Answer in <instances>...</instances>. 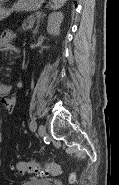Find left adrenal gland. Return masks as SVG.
I'll return each mask as SVG.
<instances>
[{
	"label": "left adrenal gland",
	"instance_id": "1",
	"mask_svg": "<svg viewBox=\"0 0 119 185\" xmlns=\"http://www.w3.org/2000/svg\"><path fill=\"white\" fill-rule=\"evenodd\" d=\"M42 16H43V15H40V16L38 17L37 26H36L35 30L33 31V34H36V33L38 32L39 22H40V18H41Z\"/></svg>",
	"mask_w": 119,
	"mask_h": 185
}]
</instances>
